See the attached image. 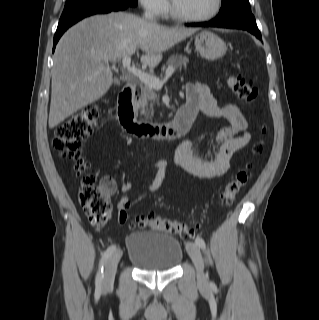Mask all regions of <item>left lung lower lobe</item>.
Listing matches in <instances>:
<instances>
[{"mask_svg":"<svg viewBox=\"0 0 319 320\" xmlns=\"http://www.w3.org/2000/svg\"><path fill=\"white\" fill-rule=\"evenodd\" d=\"M187 26L194 27H222V28H235L247 30L254 34L257 38L261 39V33L257 27L254 16L251 11H230L225 15H219L209 22L191 23Z\"/></svg>","mask_w":319,"mask_h":320,"instance_id":"left-lung-lower-lobe-1","label":"left lung lower lobe"}]
</instances>
